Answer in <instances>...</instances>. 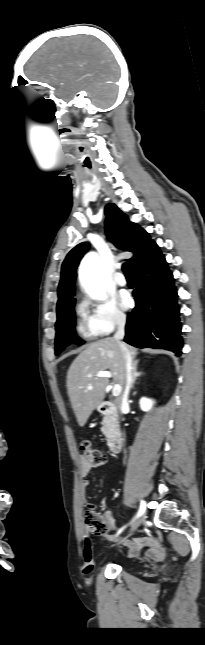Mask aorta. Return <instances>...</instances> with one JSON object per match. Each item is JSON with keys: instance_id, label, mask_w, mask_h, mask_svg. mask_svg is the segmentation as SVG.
I'll list each match as a JSON object with an SVG mask.
<instances>
[{"instance_id": "aorta-1", "label": "aorta", "mask_w": 205, "mask_h": 645, "mask_svg": "<svg viewBox=\"0 0 205 645\" xmlns=\"http://www.w3.org/2000/svg\"><path fill=\"white\" fill-rule=\"evenodd\" d=\"M79 278L92 299L102 301L106 299L100 262L96 253H88L82 259L79 268Z\"/></svg>"}]
</instances>
